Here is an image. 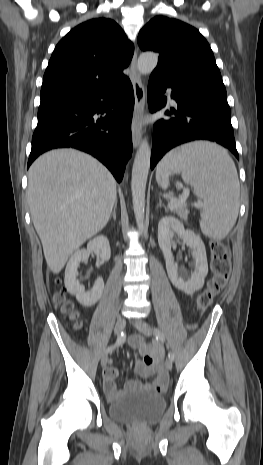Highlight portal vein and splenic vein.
Here are the masks:
<instances>
[{
  "label": "portal vein and splenic vein",
  "mask_w": 263,
  "mask_h": 465,
  "mask_svg": "<svg viewBox=\"0 0 263 465\" xmlns=\"http://www.w3.org/2000/svg\"><path fill=\"white\" fill-rule=\"evenodd\" d=\"M188 195H189V190L184 189L182 195L178 199L172 200V201H170L168 203V208L170 210H174L175 208H177L180 205H185V202H186V199L188 198ZM193 206L201 207L202 204L200 202H198V203H194Z\"/></svg>",
  "instance_id": "1"
}]
</instances>
